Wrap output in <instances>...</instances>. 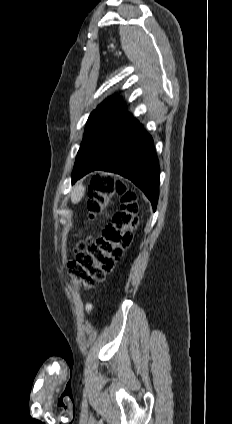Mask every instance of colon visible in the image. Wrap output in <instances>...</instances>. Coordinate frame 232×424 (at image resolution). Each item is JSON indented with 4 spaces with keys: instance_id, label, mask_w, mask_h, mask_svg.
<instances>
[{
    "instance_id": "5ec220e1",
    "label": "colon",
    "mask_w": 232,
    "mask_h": 424,
    "mask_svg": "<svg viewBox=\"0 0 232 424\" xmlns=\"http://www.w3.org/2000/svg\"><path fill=\"white\" fill-rule=\"evenodd\" d=\"M88 218H100L113 196H118L121 206L101 234L88 243H79L75 258L68 264L69 274L84 288L92 289L112 271L132 241L137 225L138 197L126 184L111 176H94L87 190Z\"/></svg>"
}]
</instances>
